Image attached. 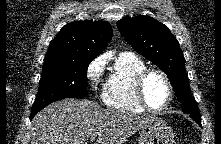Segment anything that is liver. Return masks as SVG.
<instances>
[{
	"label": "liver",
	"mask_w": 221,
	"mask_h": 144,
	"mask_svg": "<svg viewBox=\"0 0 221 144\" xmlns=\"http://www.w3.org/2000/svg\"><path fill=\"white\" fill-rule=\"evenodd\" d=\"M155 117L103 109L88 99H65L47 106L34 116L31 144H124Z\"/></svg>",
	"instance_id": "6515ba94"
}]
</instances>
